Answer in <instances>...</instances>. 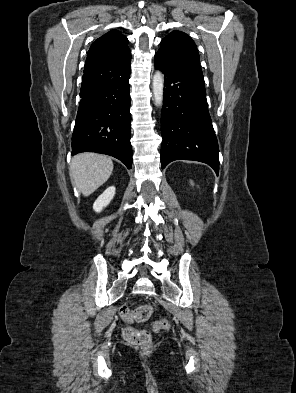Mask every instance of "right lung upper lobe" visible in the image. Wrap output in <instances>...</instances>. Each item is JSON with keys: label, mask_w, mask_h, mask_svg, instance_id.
<instances>
[{"label": "right lung upper lobe", "mask_w": 296, "mask_h": 393, "mask_svg": "<svg viewBox=\"0 0 296 393\" xmlns=\"http://www.w3.org/2000/svg\"><path fill=\"white\" fill-rule=\"evenodd\" d=\"M130 52L128 40L117 30H111L92 43L88 57H104Z\"/></svg>", "instance_id": "right-lung-upper-lobe-1"}]
</instances>
